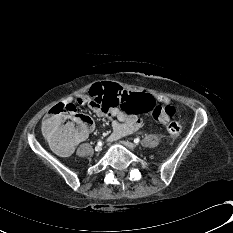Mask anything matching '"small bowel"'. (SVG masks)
<instances>
[{"mask_svg": "<svg viewBox=\"0 0 233 233\" xmlns=\"http://www.w3.org/2000/svg\"><path fill=\"white\" fill-rule=\"evenodd\" d=\"M90 89L88 93L77 96L75 101L79 105L91 109L98 117L109 116L112 119L113 140L137 133L141 130L142 121L137 117L136 113L124 111L119 109L118 106L96 103L90 96ZM150 95L154 98L155 102H161L164 104H170L171 102L170 99L165 95ZM72 150L73 145L67 150L60 151V154L68 155L72 152Z\"/></svg>", "mask_w": 233, "mask_h": 233, "instance_id": "obj_1", "label": "small bowel"}]
</instances>
